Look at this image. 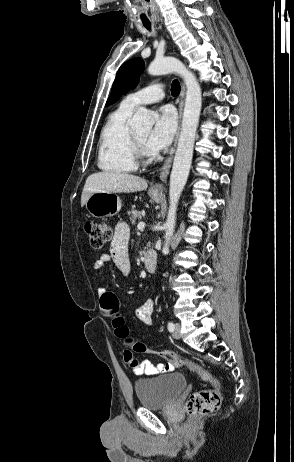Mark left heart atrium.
<instances>
[{
	"mask_svg": "<svg viewBox=\"0 0 294 462\" xmlns=\"http://www.w3.org/2000/svg\"><path fill=\"white\" fill-rule=\"evenodd\" d=\"M176 127L174 109L170 106L161 107L156 114L153 130L146 141L148 149L154 153L165 149L171 143Z\"/></svg>",
	"mask_w": 294,
	"mask_h": 462,
	"instance_id": "39dd6f15",
	"label": "left heart atrium"
}]
</instances>
